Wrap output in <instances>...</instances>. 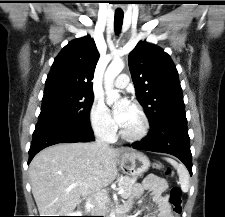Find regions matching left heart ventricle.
<instances>
[{
	"instance_id": "1",
	"label": "left heart ventricle",
	"mask_w": 225,
	"mask_h": 217,
	"mask_svg": "<svg viewBox=\"0 0 225 217\" xmlns=\"http://www.w3.org/2000/svg\"><path fill=\"white\" fill-rule=\"evenodd\" d=\"M140 125H141L140 116L131 106L128 113L127 120L122 126V129L128 133H135L139 130Z\"/></svg>"
}]
</instances>
